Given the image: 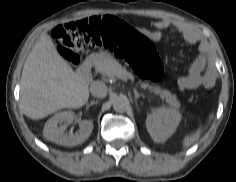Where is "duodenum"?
<instances>
[{
  "instance_id": "duodenum-1",
  "label": "duodenum",
  "mask_w": 236,
  "mask_h": 182,
  "mask_svg": "<svg viewBox=\"0 0 236 182\" xmlns=\"http://www.w3.org/2000/svg\"><path fill=\"white\" fill-rule=\"evenodd\" d=\"M79 75L87 81L90 79L91 77L90 57H86L84 64L80 66Z\"/></svg>"
}]
</instances>
